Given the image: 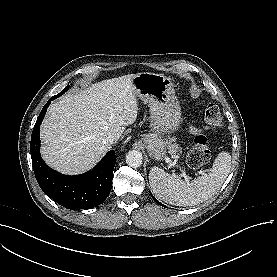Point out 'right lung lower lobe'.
Wrapping results in <instances>:
<instances>
[{"mask_svg": "<svg viewBox=\"0 0 277 277\" xmlns=\"http://www.w3.org/2000/svg\"><path fill=\"white\" fill-rule=\"evenodd\" d=\"M53 98L44 105L34 126L30 152L36 180L44 193L61 206L71 209H90L104 202L112 188L113 169L116 162L114 150L89 172L68 176L49 168L40 156V125Z\"/></svg>", "mask_w": 277, "mask_h": 277, "instance_id": "98d812e1", "label": "right lung lower lobe"}]
</instances>
